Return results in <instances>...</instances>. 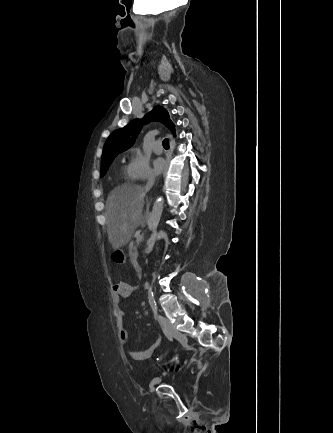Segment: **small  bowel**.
I'll list each match as a JSON object with an SVG mask.
<instances>
[{
	"label": "small bowel",
	"instance_id": "c3829d8e",
	"mask_svg": "<svg viewBox=\"0 0 333 433\" xmlns=\"http://www.w3.org/2000/svg\"><path fill=\"white\" fill-rule=\"evenodd\" d=\"M138 287L128 282H118L113 286V297L115 305V316L117 319V327L119 333V341L127 357L132 360L141 361L149 359L158 350L163 342V339L159 337L149 348L144 351H134L127 347L128 344V332L125 324L126 314L121 308V301L131 296Z\"/></svg>",
	"mask_w": 333,
	"mask_h": 433
}]
</instances>
